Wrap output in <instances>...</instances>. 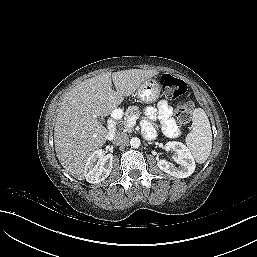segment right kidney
Returning <instances> with one entry per match:
<instances>
[{"label":"right kidney","instance_id":"obj_1","mask_svg":"<svg viewBox=\"0 0 257 257\" xmlns=\"http://www.w3.org/2000/svg\"><path fill=\"white\" fill-rule=\"evenodd\" d=\"M113 167V155H104L102 149L95 150L87 159L84 177L87 182L96 184L105 180Z\"/></svg>","mask_w":257,"mask_h":257}]
</instances>
